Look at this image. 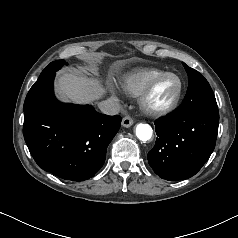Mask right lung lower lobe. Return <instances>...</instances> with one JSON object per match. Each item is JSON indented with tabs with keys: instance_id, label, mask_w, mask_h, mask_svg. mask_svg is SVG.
Listing matches in <instances>:
<instances>
[{
	"instance_id": "obj_1",
	"label": "right lung lower lobe",
	"mask_w": 238,
	"mask_h": 238,
	"mask_svg": "<svg viewBox=\"0 0 238 238\" xmlns=\"http://www.w3.org/2000/svg\"><path fill=\"white\" fill-rule=\"evenodd\" d=\"M54 77L55 71L41 73L26 96L24 139L43 170L83 181L104 164L121 117L98 113L90 105L60 103L53 94Z\"/></svg>"
}]
</instances>
